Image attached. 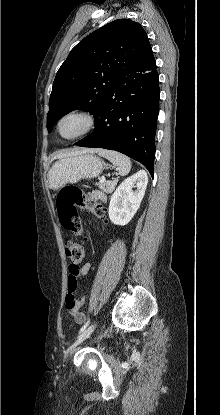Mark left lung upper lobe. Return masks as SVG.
Here are the masks:
<instances>
[{"label": "left lung upper lobe", "instance_id": "left-lung-upper-lobe-1", "mask_svg": "<svg viewBox=\"0 0 220 415\" xmlns=\"http://www.w3.org/2000/svg\"><path fill=\"white\" fill-rule=\"evenodd\" d=\"M152 57L147 34L137 22L118 19L89 34L71 50L56 74L48 131L60 116L73 110L96 116L116 80L142 68Z\"/></svg>", "mask_w": 220, "mask_h": 415}]
</instances>
